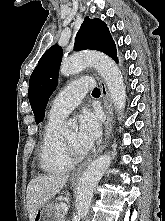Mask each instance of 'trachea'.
Returning <instances> with one entry per match:
<instances>
[{"label":"trachea","instance_id":"3493384b","mask_svg":"<svg viewBox=\"0 0 165 221\" xmlns=\"http://www.w3.org/2000/svg\"><path fill=\"white\" fill-rule=\"evenodd\" d=\"M92 94L93 95H100V90L98 88H95L93 91H92Z\"/></svg>","mask_w":165,"mask_h":221}]
</instances>
